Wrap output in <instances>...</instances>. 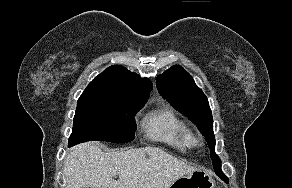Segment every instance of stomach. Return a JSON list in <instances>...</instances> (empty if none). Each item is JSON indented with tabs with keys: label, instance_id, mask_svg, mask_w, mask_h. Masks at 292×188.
Wrapping results in <instances>:
<instances>
[{
	"label": "stomach",
	"instance_id": "stomach-1",
	"mask_svg": "<svg viewBox=\"0 0 292 188\" xmlns=\"http://www.w3.org/2000/svg\"><path fill=\"white\" fill-rule=\"evenodd\" d=\"M210 172L197 169L175 180L168 188H215Z\"/></svg>",
	"mask_w": 292,
	"mask_h": 188
}]
</instances>
